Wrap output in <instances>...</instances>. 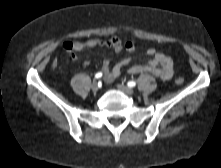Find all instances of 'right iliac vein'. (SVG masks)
<instances>
[{
	"instance_id": "1",
	"label": "right iliac vein",
	"mask_w": 221,
	"mask_h": 168,
	"mask_svg": "<svg viewBox=\"0 0 221 168\" xmlns=\"http://www.w3.org/2000/svg\"><path fill=\"white\" fill-rule=\"evenodd\" d=\"M91 89H92V91L97 92L99 90L98 83L93 82L92 85H91Z\"/></svg>"
}]
</instances>
